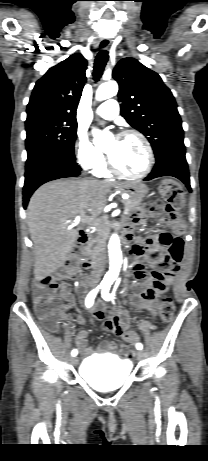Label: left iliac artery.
I'll return each mask as SVG.
<instances>
[{
  "label": "left iliac artery",
  "mask_w": 208,
  "mask_h": 461,
  "mask_svg": "<svg viewBox=\"0 0 208 461\" xmlns=\"http://www.w3.org/2000/svg\"><path fill=\"white\" fill-rule=\"evenodd\" d=\"M102 298L106 301L110 300V294H109V286H104L102 290ZM136 348L138 350H141L143 348V345L141 343L136 344Z\"/></svg>",
  "instance_id": "left-iliac-artery-1"
}]
</instances>
